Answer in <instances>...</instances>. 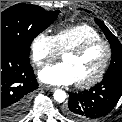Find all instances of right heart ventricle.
<instances>
[{"label":"right heart ventricle","instance_id":"e07e8e85","mask_svg":"<svg viewBox=\"0 0 122 122\" xmlns=\"http://www.w3.org/2000/svg\"><path fill=\"white\" fill-rule=\"evenodd\" d=\"M54 38L59 52H66L86 41L101 39V35L88 24H77L58 30Z\"/></svg>","mask_w":122,"mask_h":122}]
</instances>
